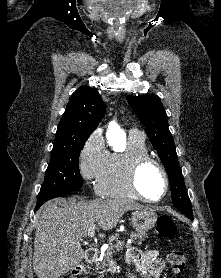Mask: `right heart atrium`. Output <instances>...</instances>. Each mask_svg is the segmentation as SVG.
Listing matches in <instances>:
<instances>
[{
    "label": "right heart atrium",
    "mask_w": 221,
    "mask_h": 278,
    "mask_svg": "<svg viewBox=\"0 0 221 278\" xmlns=\"http://www.w3.org/2000/svg\"><path fill=\"white\" fill-rule=\"evenodd\" d=\"M109 159L103 134L100 130L92 132L84 142L78 157L81 176L89 182L97 179L105 171Z\"/></svg>",
    "instance_id": "d8ad5b80"
}]
</instances>
